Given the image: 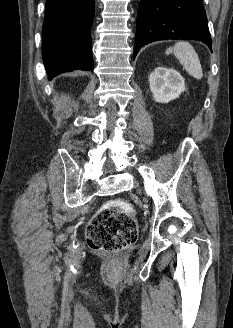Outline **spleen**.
<instances>
[{
  "mask_svg": "<svg viewBox=\"0 0 233 328\" xmlns=\"http://www.w3.org/2000/svg\"><path fill=\"white\" fill-rule=\"evenodd\" d=\"M170 53L175 55L189 75L193 76L197 80L202 79L203 71L199 57L189 42H177L173 47H169L166 50L167 55Z\"/></svg>",
  "mask_w": 233,
  "mask_h": 328,
  "instance_id": "3e777b00",
  "label": "spleen"
}]
</instances>
